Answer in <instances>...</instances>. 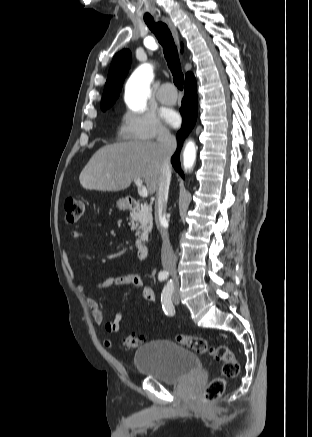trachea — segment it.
<instances>
[{"mask_svg":"<svg viewBox=\"0 0 312 437\" xmlns=\"http://www.w3.org/2000/svg\"><path fill=\"white\" fill-rule=\"evenodd\" d=\"M144 21L163 47L165 59L173 75L174 84L179 90H183L184 76L171 31L165 23L154 22L151 15H145Z\"/></svg>","mask_w":312,"mask_h":437,"instance_id":"3493384b","label":"trachea"}]
</instances>
